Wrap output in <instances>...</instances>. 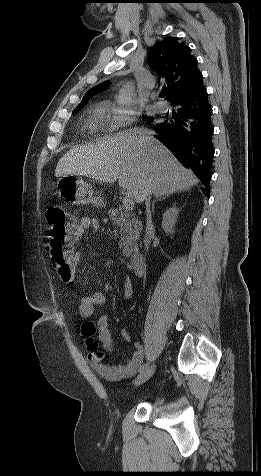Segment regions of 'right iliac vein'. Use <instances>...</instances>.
Instances as JSON below:
<instances>
[{
  "instance_id": "63e3f726",
  "label": "right iliac vein",
  "mask_w": 261,
  "mask_h": 476,
  "mask_svg": "<svg viewBox=\"0 0 261 476\" xmlns=\"http://www.w3.org/2000/svg\"><path fill=\"white\" fill-rule=\"evenodd\" d=\"M155 372V366L147 367L143 372H141L136 379L134 380L135 386H140L144 382H146Z\"/></svg>"
}]
</instances>
